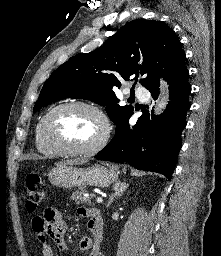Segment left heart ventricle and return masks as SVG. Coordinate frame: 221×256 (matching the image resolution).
I'll return each mask as SVG.
<instances>
[{
	"label": "left heart ventricle",
	"mask_w": 221,
	"mask_h": 256,
	"mask_svg": "<svg viewBox=\"0 0 221 256\" xmlns=\"http://www.w3.org/2000/svg\"><path fill=\"white\" fill-rule=\"evenodd\" d=\"M102 131L103 126L99 117L79 107L58 111L48 124V134L53 140L74 148L94 144Z\"/></svg>",
	"instance_id": "left-heart-ventricle-1"
}]
</instances>
